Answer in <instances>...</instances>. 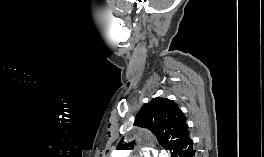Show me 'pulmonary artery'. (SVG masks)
Instances as JSON below:
<instances>
[{"label": "pulmonary artery", "mask_w": 264, "mask_h": 157, "mask_svg": "<svg viewBox=\"0 0 264 157\" xmlns=\"http://www.w3.org/2000/svg\"><path fill=\"white\" fill-rule=\"evenodd\" d=\"M124 153H125V152H122L123 155H124ZM145 157H149V156H145ZM161 157H163V156H161Z\"/></svg>", "instance_id": "e3ab8cb5"}]
</instances>
